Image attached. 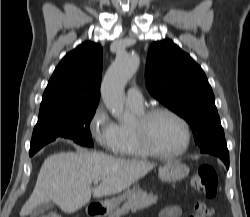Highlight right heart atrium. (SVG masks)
<instances>
[{
    "mask_svg": "<svg viewBox=\"0 0 250 217\" xmlns=\"http://www.w3.org/2000/svg\"><path fill=\"white\" fill-rule=\"evenodd\" d=\"M88 130L93 140L104 150L115 152L118 145V125L109 116L102 104L93 110Z\"/></svg>",
    "mask_w": 250,
    "mask_h": 217,
    "instance_id": "1",
    "label": "right heart atrium"
}]
</instances>
